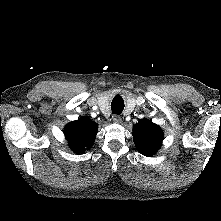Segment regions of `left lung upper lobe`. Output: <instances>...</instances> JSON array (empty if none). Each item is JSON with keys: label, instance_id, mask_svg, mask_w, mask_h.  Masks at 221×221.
Segmentation results:
<instances>
[{"label": "left lung upper lobe", "instance_id": "5c2ea615", "mask_svg": "<svg viewBox=\"0 0 221 221\" xmlns=\"http://www.w3.org/2000/svg\"><path fill=\"white\" fill-rule=\"evenodd\" d=\"M133 140L141 154L152 156L162 144L163 132L152 121L142 119L133 127Z\"/></svg>", "mask_w": 221, "mask_h": 221}]
</instances>
